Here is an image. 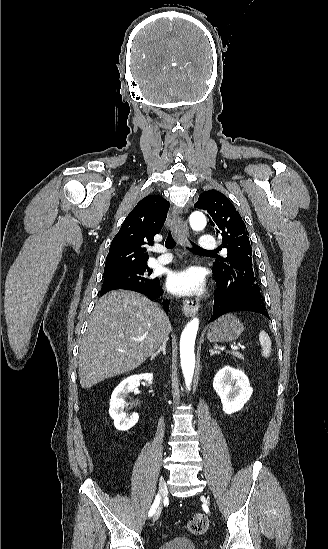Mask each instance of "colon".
<instances>
[{
    "label": "colon",
    "mask_w": 328,
    "mask_h": 549,
    "mask_svg": "<svg viewBox=\"0 0 328 549\" xmlns=\"http://www.w3.org/2000/svg\"><path fill=\"white\" fill-rule=\"evenodd\" d=\"M186 528L193 535H201L208 528V519L204 514L197 513L188 520Z\"/></svg>",
    "instance_id": "obj_1"
}]
</instances>
